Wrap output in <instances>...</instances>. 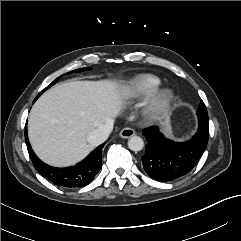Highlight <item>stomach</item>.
<instances>
[{
  "instance_id": "stomach-1",
  "label": "stomach",
  "mask_w": 241,
  "mask_h": 241,
  "mask_svg": "<svg viewBox=\"0 0 241 241\" xmlns=\"http://www.w3.org/2000/svg\"><path fill=\"white\" fill-rule=\"evenodd\" d=\"M164 131H165V133H166V135H171V128L169 127V126H166L165 128H164Z\"/></svg>"
}]
</instances>
